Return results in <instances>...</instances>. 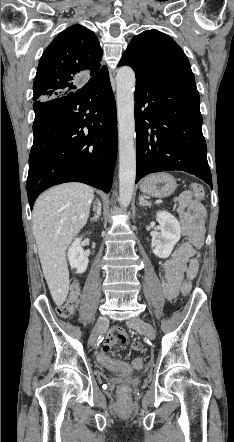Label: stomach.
<instances>
[{
	"label": "stomach",
	"instance_id": "stomach-1",
	"mask_svg": "<svg viewBox=\"0 0 234 442\" xmlns=\"http://www.w3.org/2000/svg\"><path fill=\"white\" fill-rule=\"evenodd\" d=\"M176 188V179L165 172L151 174L140 183V190L143 193L157 198L170 196Z\"/></svg>",
	"mask_w": 234,
	"mask_h": 442
}]
</instances>
